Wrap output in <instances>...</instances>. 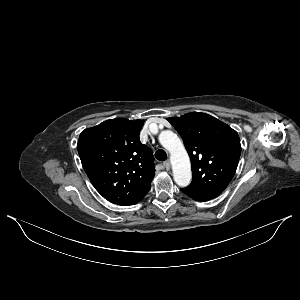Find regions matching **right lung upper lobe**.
I'll use <instances>...</instances> for the list:
<instances>
[{"mask_svg": "<svg viewBox=\"0 0 300 300\" xmlns=\"http://www.w3.org/2000/svg\"><path fill=\"white\" fill-rule=\"evenodd\" d=\"M143 120L116 118L81 132L77 149L96 190L118 203L148 193L155 175L153 153L142 144Z\"/></svg>", "mask_w": 300, "mask_h": 300, "instance_id": "cb5924a9", "label": "right lung upper lobe"}]
</instances>
